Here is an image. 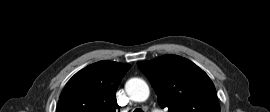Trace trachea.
<instances>
[{
  "label": "trachea",
  "instance_id": "trachea-1",
  "mask_svg": "<svg viewBox=\"0 0 270 112\" xmlns=\"http://www.w3.org/2000/svg\"><path fill=\"white\" fill-rule=\"evenodd\" d=\"M134 112H144V111L142 109H140V108H137V109L134 110Z\"/></svg>",
  "mask_w": 270,
  "mask_h": 112
}]
</instances>
